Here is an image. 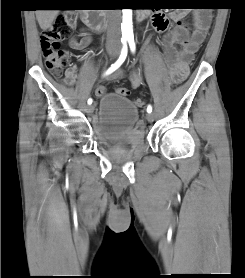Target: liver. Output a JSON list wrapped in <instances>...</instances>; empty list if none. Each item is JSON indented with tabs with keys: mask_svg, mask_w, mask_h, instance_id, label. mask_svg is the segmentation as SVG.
<instances>
[{
	"mask_svg": "<svg viewBox=\"0 0 245 278\" xmlns=\"http://www.w3.org/2000/svg\"><path fill=\"white\" fill-rule=\"evenodd\" d=\"M58 10H37L36 18L42 30L46 31L56 19Z\"/></svg>",
	"mask_w": 245,
	"mask_h": 278,
	"instance_id": "obj_1",
	"label": "liver"
}]
</instances>
